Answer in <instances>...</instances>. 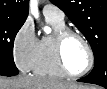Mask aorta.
Returning a JSON list of instances; mask_svg holds the SVG:
<instances>
[{
	"label": "aorta",
	"mask_w": 107,
	"mask_h": 89,
	"mask_svg": "<svg viewBox=\"0 0 107 89\" xmlns=\"http://www.w3.org/2000/svg\"><path fill=\"white\" fill-rule=\"evenodd\" d=\"M30 13L36 18H39V12H38V1L37 0H31L29 4ZM44 31L46 33H49L51 30L49 27H44Z\"/></svg>",
	"instance_id": "762f6f07"
}]
</instances>
